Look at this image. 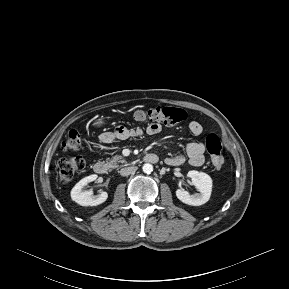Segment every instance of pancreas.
Returning <instances> with one entry per match:
<instances>
[{
	"mask_svg": "<svg viewBox=\"0 0 289 289\" xmlns=\"http://www.w3.org/2000/svg\"><path fill=\"white\" fill-rule=\"evenodd\" d=\"M122 156H114L112 159L108 160L107 162L113 167V168H117L119 167L118 163H122V164H125L126 161L125 160H122Z\"/></svg>",
	"mask_w": 289,
	"mask_h": 289,
	"instance_id": "pancreas-1",
	"label": "pancreas"
}]
</instances>
